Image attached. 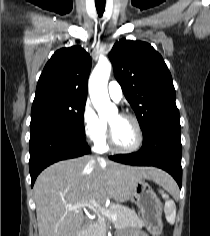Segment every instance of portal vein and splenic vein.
Listing matches in <instances>:
<instances>
[{
	"instance_id": "1",
	"label": "portal vein and splenic vein",
	"mask_w": 210,
	"mask_h": 236,
	"mask_svg": "<svg viewBox=\"0 0 210 236\" xmlns=\"http://www.w3.org/2000/svg\"><path fill=\"white\" fill-rule=\"evenodd\" d=\"M86 206L94 209V211L99 215H104L112 220L117 219L116 214L109 213L107 210H105L103 207H101L99 204L96 203L84 202L74 206H70L69 209L76 210L77 208H84Z\"/></svg>"
}]
</instances>
